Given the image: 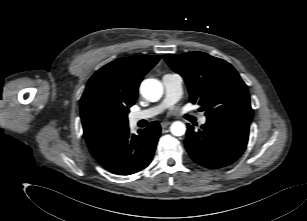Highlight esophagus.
Returning <instances> with one entry per match:
<instances>
[{
    "mask_svg": "<svg viewBox=\"0 0 307 221\" xmlns=\"http://www.w3.org/2000/svg\"><path fill=\"white\" fill-rule=\"evenodd\" d=\"M170 123L171 122H169V121H164V122L161 123V127L166 128L168 125H170Z\"/></svg>",
    "mask_w": 307,
    "mask_h": 221,
    "instance_id": "1",
    "label": "esophagus"
}]
</instances>
